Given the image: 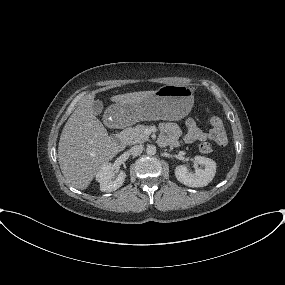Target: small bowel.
I'll return each mask as SVG.
<instances>
[{"label": "small bowel", "mask_w": 285, "mask_h": 285, "mask_svg": "<svg viewBox=\"0 0 285 285\" xmlns=\"http://www.w3.org/2000/svg\"><path fill=\"white\" fill-rule=\"evenodd\" d=\"M161 143L171 146L179 145V138L181 135L180 127L173 122H165L161 125ZM208 135L203 131L196 123L194 119H188L186 121V133L184 135V141L187 144L194 143L196 141H205Z\"/></svg>", "instance_id": "1"}]
</instances>
